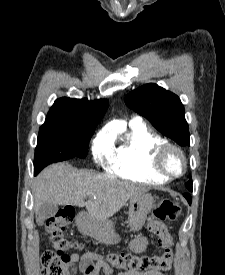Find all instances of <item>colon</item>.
Wrapping results in <instances>:
<instances>
[{
    "label": "colon",
    "instance_id": "1",
    "mask_svg": "<svg viewBox=\"0 0 225 275\" xmlns=\"http://www.w3.org/2000/svg\"><path fill=\"white\" fill-rule=\"evenodd\" d=\"M75 212L72 208H64L52 216L47 222V233L50 242L56 248L42 254V275H73L75 268L64 250L79 247L77 243L68 241L63 232L72 222ZM180 215V205L174 200H161L154 210V217L149 219L148 231L157 238V244L163 249L161 255L136 256L130 253H110L104 258L111 266L126 271L162 272L168 271L173 262V240L165 221L175 220Z\"/></svg>",
    "mask_w": 225,
    "mask_h": 275
}]
</instances>
